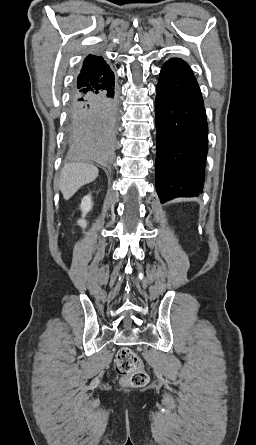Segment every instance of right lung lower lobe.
I'll return each instance as SVG.
<instances>
[{"mask_svg": "<svg viewBox=\"0 0 256 445\" xmlns=\"http://www.w3.org/2000/svg\"><path fill=\"white\" fill-rule=\"evenodd\" d=\"M114 80L112 75L99 86L73 92L69 126L72 157L100 164L112 161L117 119Z\"/></svg>", "mask_w": 256, "mask_h": 445, "instance_id": "98d812e1", "label": "right lung lower lobe"}]
</instances>
